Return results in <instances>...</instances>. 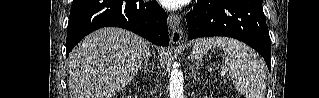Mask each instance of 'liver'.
<instances>
[{
    "mask_svg": "<svg viewBox=\"0 0 319 98\" xmlns=\"http://www.w3.org/2000/svg\"><path fill=\"white\" fill-rule=\"evenodd\" d=\"M150 42L121 28H102L69 54L70 98H112L137 74Z\"/></svg>",
    "mask_w": 319,
    "mask_h": 98,
    "instance_id": "liver-1",
    "label": "liver"
}]
</instances>
